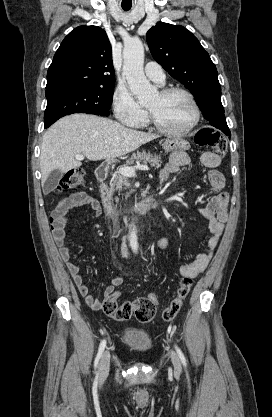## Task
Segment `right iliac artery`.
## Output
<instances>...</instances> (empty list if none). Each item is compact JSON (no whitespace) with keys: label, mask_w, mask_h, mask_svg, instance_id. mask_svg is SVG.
I'll return each instance as SVG.
<instances>
[{"label":"right iliac artery","mask_w":272,"mask_h":417,"mask_svg":"<svg viewBox=\"0 0 272 417\" xmlns=\"http://www.w3.org/2000/svg\"><path fill=\"white\" fill-rule=\"evenodd\" d=\"M105 347H106V340L104 339L100 343L98 353H97V356H96V359H95V365H97L99 360L101 359Z\"/></svg>","instance_id":"obj_1"}]
</instances>
